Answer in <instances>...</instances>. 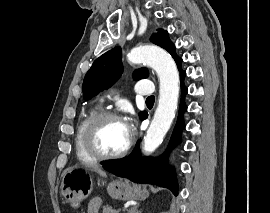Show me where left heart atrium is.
Here are the masks:
<instances>
[{
    "label": "left heart atrium",
    "mask_w": 270,
    "mask_h": 213,
    "mask_svg": "<svg viewBox=\"0 0 270 213\" xmlns=\"http://www.w3.org/2000/svg\"><path fill=\"white\" fill-rule=\"evenodd\" d=\"M123 123H124V126H125V128H126L128 134H129V136H130V134H131V129H132V124H131L130 118H125V119L123 120Z\"/></svg>",
    "instance_id": "obj_1"
}]
</instances>
